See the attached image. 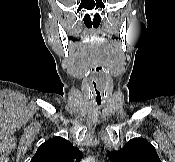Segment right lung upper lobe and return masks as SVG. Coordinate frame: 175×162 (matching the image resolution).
I'll return each instance as SVG.
<instances>
[{
  "label": "right lung upper lobe",
  "instance_id": "1",
  "mask_svg": "<svg viewBox=\"0 0 175 162\" xmlns=\"http://www.w3.org/2000/svg\"><path fill=\"white\" fill-rule=\"evenodd\" d=\"M82 153L68 140L54 137L41 144L30 162H80Z\"/></svg>",
  "mask_w": 175,
  "mask_h": 162
}]
</instances>
